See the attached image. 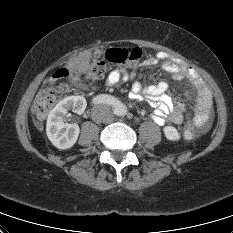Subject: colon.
Listing matches in <instances>:
<instances>
[{
  "label": "colon",
  "instance_id": "5ec220e1",
  "mask_svg": "<svg viewBox=\"0 0 233 233\" xmlns=\"http://www.w3.org/2000/svg\"><path fill=\"white\" fill-rule=\"evenodd\" d=\"M142 56L137 47L111 48L106 51L105 61L117 66H131L136 64ZM106 72V63L103 60L93 61L87 70V78L91 81L99 80ZM69 75V70L61 67L52 75L47 87L41 89L36 96L33 110L38 118H44L56 102L69 91V86L63 80ZM199 130L191 122L183 131L186 139L196 137Z\"/></svg>",
  "mask_w": 233,
  "mask_h": 233
}]
</instances>
